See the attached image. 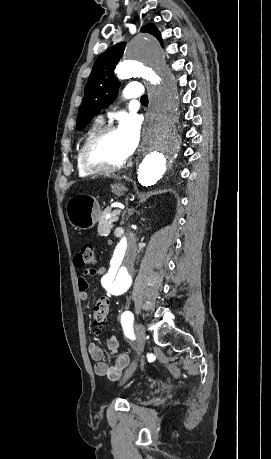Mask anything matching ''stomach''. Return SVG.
I'll use <instances>...</instances> for the list:
<instances>
[{"mask_svg":"<svg viewBox=\"0 0 271 459\" xmlns=\"http://www.w3.org/2000/svg\"><path fill=\"white\" fill-rule=\"evenodd\" d=\"M112 192L115 196H123L126 188L122 184H113ZM66 214L73 228L90 229L100 220L101 210L95 198L79 194L67 202Z\"/></svg>","mask_w":271,"mask_h":459,"instance_id":"0dacf381","label":"stomach"}]
</instances>
